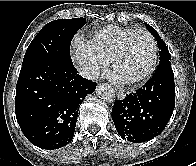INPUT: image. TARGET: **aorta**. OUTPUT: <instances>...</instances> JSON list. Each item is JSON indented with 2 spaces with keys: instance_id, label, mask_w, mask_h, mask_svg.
<instances>
[{
  "instance_id": "obj_1",
  "label": "aorta",
  "mask_w": 196,
  "mask_h": 166,
  "mask_svg": "<svg viewBox=\"0 0 196 166\" xmlns=\"http://www.w3.org/2000/svg\"><path fill=\"white\" fill-rule=\"evenodd\" d=\"M98 97L108 103H112L115 100V93L113 88L108 84H100L96 89Z\"/></svg>"
}]
</instances>
